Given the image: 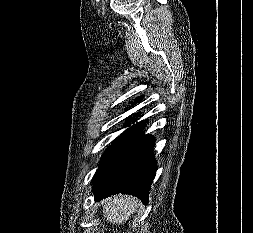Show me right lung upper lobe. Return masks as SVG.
Returning <instances> with one entry per match:
<instances>
[{"instance_id": "cb5924a9", "label": "right lung upper lobe", "mask_w": 253, "mask_h": 233, "mask_svg": "<svg viewBox=\"0 0 253 233\" xmlns=\"http://www.w3.org/2000/svg\"><path fill=\"white\" fill-rule=\"evenodd\" d=\"M142 96L141 97H138L136 100H135V102H138V101H140V100H142Z\"/></svg>"}]
</instances>
